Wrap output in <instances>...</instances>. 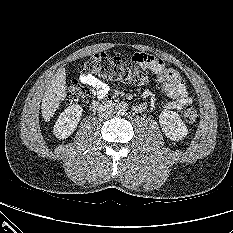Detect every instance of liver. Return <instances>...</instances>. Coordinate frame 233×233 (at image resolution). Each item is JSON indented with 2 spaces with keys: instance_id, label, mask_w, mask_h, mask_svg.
<instances>
[{
  "instance_id": "1",
  "label": "liver",
  "mask_w": 233,
  "mask_h": 233,
  "mask_svg": "<svg viewBox=\"0 0 233 233\" xmlns=\"http://www.w3.org/2000/svg\"><path fill=\"white\" fill-rule=\"evenodd\" d=\"M66 90L65 69L59 68L55 76L50 80L42 98L41 112L45 121H49L53 117L60 101L66 96Z\"/></svg>"
}]
</instances>
